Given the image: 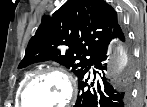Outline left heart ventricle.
Returning a JSON list of instances; mask_svg holds the SVG:
<instances>
[{"label": "left heart ventricle", "mask_w": 147, "mask_h": 107, "mask_svg": "<svg viewBox=\"0 0 147 107\" xmlns=\"http://www.w3.org/2000/svg\"><path fill=\"white\" fill-rule=\"evenodd\" d=\"M68 86L58 75H43L37 78L27 90L25 99L29 107H54L67 98Z\"/></svg>", "instance_id": "1"}]
</instances>
